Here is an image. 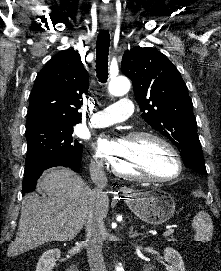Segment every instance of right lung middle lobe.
Instances as JSON below:
<instances>
[{
	"label": "right lung middle lobe",
	"mask_w": 221,
	"mask_h": 271,
	"mask_svg": "<svg viewBox=\"0 0 221 271\" xmlns=\"http://www.w3.org/2000/svg\"><path fill=\"white\" fill-rule=\"evenodd\" d=\"M73 126H40L26 131L25 165L72 160L82 155V145L73 136Z\"/></svg>",
	"instance_id": "obj_1"
}]
</instances>
